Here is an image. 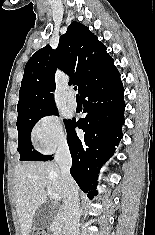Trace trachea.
<instances>
[{
  "label": "trachea",
  "instance_id": "3493384b",
  "mask_svg": "<svg viewBox=\"0 0 155 235\" xmlns=\"http://www.w3.org/2000/svg\"><path fill=\"white\" fill-rule=\"evenodd\" d=\"M74 90L76 91L77 90V86L74 87ZM78 96V95H77Z\"/></svg>",
  "mask_w": 155,
  "mask_h": 235
}]
</instances>
